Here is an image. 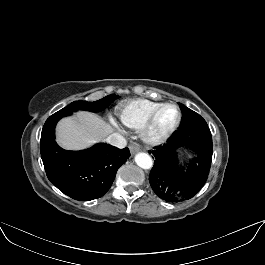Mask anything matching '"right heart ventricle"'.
Returning <instances> with one entry per match:
<instances>
[{
  "mask_svg": "<svg viewBox=\"0 0 265 265\" xmlns=\"http://www.w3.org/2000/svg\"><path fill=\"white\" fill-rule=\"evenodd\" d=\"M160 104L157 101L138 98L120 103L116 111L122 125L131 130H139L148 115Z\"/></svg>",
  "mask_w": 265,
  "mask_h": 265,
  "instance_id": "obj_1",
  "label": "right heart ventricle"
}]
</instances>
